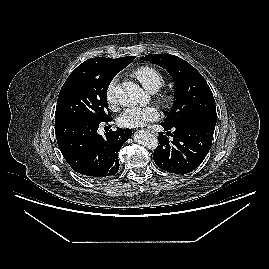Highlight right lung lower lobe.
<instances>
[{
    "label": "right lung lower lobe",
    "mask_w": 269,
    "mask_h": 269,
    "mask_svg": "<svg viewBox=\"0 0 269 269\" xmlns=\"http://www.w3.org/2000/svg\"><path fill=\"white\" fill-rule=\"evenodd\" d=\"M99 124L83 118L55 121L62 155L75 172L90 180L104 179L118 171V151L132 135L130 129L118 128L103 137L97 133Z\"/></svg>",
    "instance_id": "1"
}]
</instances>
